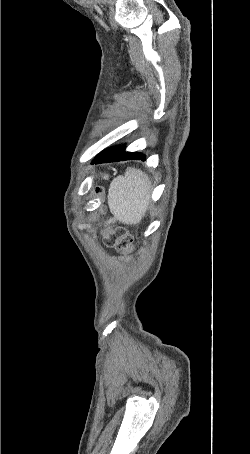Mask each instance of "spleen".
Instances as JSON below:
<instances>
[{
	"label": "spleen",
	"mask_w": 250,
	"mask_h": 454,
	"mask_svg": "<svg viewBox=\"0 0 250 454\" xmlns=\"http://www.w3.org/2000/svg\"><path fill=\"white\" fill-rule=\"evenodd\" d=\"M151 182L139 169L128 168L124 176L110 184L108 205L111 213L124 224H138L149 204Z\"/></svg>",
	"instance_id": "3e777b00"
}]
</instances>
